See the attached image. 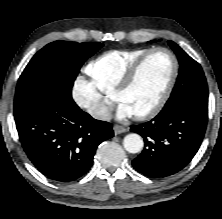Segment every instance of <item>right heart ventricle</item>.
<instances>
[{"mask_svg": "<svg viewBox=\"0 0 222 219\" xmlns=\"http://www.w3.org/2000/svg\"><path fill=\"white\" fill-rule=\"evenodd\" d=\"M150 48L110 50L92 60L85 68L96 89L110 95L130 65Z\"/></svg>", "mask_w": 222, "mask_h": 219, "instance_id": "e07e8e85", "label": "right heart ventricle"}]
</instances>
